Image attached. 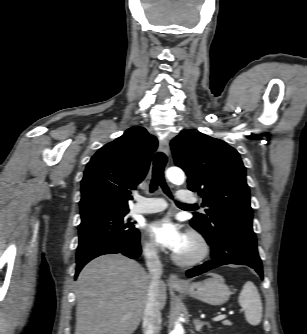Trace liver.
Listing matches in <instances>:
<instances>
[{"instance_id":"liver-1","label":"liver","mask_w":307,"mask_h":334,"mask_svg":"<svg viewBox=\"0 0 307 334\" xmlns=\"http://www.w3.org/2000/svg\"><path fill=\"white\" fill-rule=\"evenodd\" d=\"M149 284L143 267L122 254L90 261L76 282L75 334H132L143 317ZM166 298V284L160 281V309Z\"/></svg>"}]
</instances>
